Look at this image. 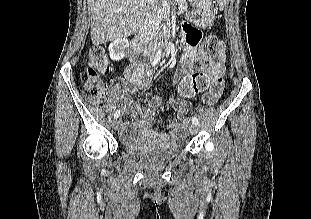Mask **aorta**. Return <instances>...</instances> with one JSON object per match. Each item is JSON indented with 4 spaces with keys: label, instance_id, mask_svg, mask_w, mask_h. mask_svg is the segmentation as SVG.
<instances>
[{
    "label": "aorta",
    "instance_id": "obj_1",
    "mask_svg": "<svg viewBox=\"0 0 311 219\" xmlns=\"http://www.w3.org/2000/svg\"><path fill=\"white\" fill-rule=\"evenodd\" d=\"M161 36H162V33H160V41H159V44H158L159 46H160V45H161V46L163 45V38L161 39Z\"/></svg>",
    "mask_w": 311,
    "mask_h": 219
}]
</instances>
